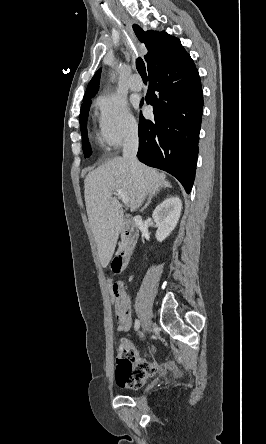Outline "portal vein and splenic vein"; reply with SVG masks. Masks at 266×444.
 I'll use <instances>...</instances> for the list:
<instances>
[{
  "mask_svg": "<svg viewBox=\"0 0 266 444\" xmlns=\"http://www.w3.org/2000/svg\"><path fill=\"white\" fill-rule=\"evenodd\" d=\"M114 193L122 200V202L124 204L129 203V197L127 196V194L123 190L116 189Z\"/></svg>",
  "mask_w": 266,
  "mask_h": 444,
  "instance_id": "portal-vein-and-splenic-vein-1",
  "label": "portal vein and splenic vein"
}]
</instances>
